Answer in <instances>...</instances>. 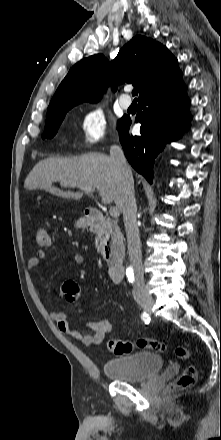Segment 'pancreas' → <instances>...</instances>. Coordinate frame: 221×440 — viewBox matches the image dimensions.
I'll list each match as a JSON object with an SVG mask.
<instances>
[{
	"instance_id": "obj_1",
	"label": "pancreas",
	"mask_w": 221,
	"mask_h": 440,
	"mask_svg": "<svg viewBox=\"0 0 221 440\" xmlns=\"http://www.w3.org/2000/svg\"><path fill=\"white\" fill-rule=\"evenodd\" d=\"M96 235V240L100 242V245L98 247L99 250L103 249L107 240L111 236L114 241L112 249L114 253H116L117 259L121 260L124 257L125 248L123 243V235L121 234V231L116 223H114L110 219H107L105 222V227L99 229L96 232Z\"/></svg>"
}]
</instances>
